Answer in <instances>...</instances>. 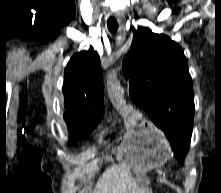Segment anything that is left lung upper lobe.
<instances>
[{
    "mask_svg": "<svg viewBox=\"0 0 221 193\" xmlns=\"http://www.w3.org/2000/svg\"><path fill=\"white\" fill-rule=\"evenodd\" d=\"M123 72L132 100L165 133L182 162L189 149L195 113L183 49L166 35L138 28L123 60Z\"/></svg>",
    "mask_w": 221,
    "mask_h": 193,
    "instance_id": "1",
    "label": "left lung upper lobe"
}]
</instances>
